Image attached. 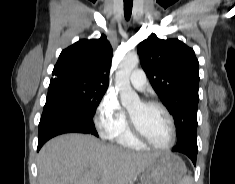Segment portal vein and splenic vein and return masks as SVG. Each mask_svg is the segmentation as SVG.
<instances>
[{"instance_id": "1", "label": "portal vein and splenic vein", "mask_w": 235, "mask_h": 184, "mask_svg": "<svg viewBox=\"0 0 235 184\" xmlns=\"http://www.w3.org/2000/svg\"><path fill=\"white\" fill-rule=\"evenodd\" d=\"M91 184H100V182H95V180H92Z\"/></svg>"}]
</instances>
